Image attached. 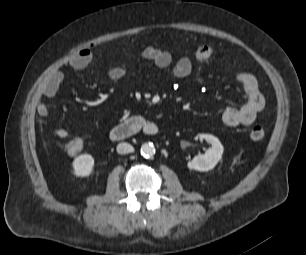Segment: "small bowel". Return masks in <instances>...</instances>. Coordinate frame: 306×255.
Masks as SVG:
<instances>
[{
    "label": "small bowel",
    "instance_id": "c3829d8e",
    "mask_svg": "<svg viewBox=\"0 0 306 255\" xmlns=\"http://www.w3.org/2000/svg\"><path fill=\"white\" fill-rule=\"evenodd\" d=\"M215 55V50L212 46H200L193 56H181L173 64V57L170 52L147 46L142 51V57L150 61L154 66L160 69H167L172 66L171 72L177 79L190 78L194 82L199 83L201 76L194 72V63L204 64L212 59ZM92 60V52L88 48L79 50L67 63V66L72 69H81L86 67ZM129 71V65L122 63L114 66L107 71L108 79L117 81L124 78ZM64 80L62 71L51 73L41 84L36 102L37 113L41 117L48 115V105L43 97H54L60 85ZM237 82L241 85L246 101L239 107H228L222 113V121L226 126L237 127L240 125L248 126L254 123L259 112L264 108L265 101L261 94L258 82L255 76L248 72H241L236 76ZM55 135L61 139L68 136V131L64 128L55 129Z\"/></svg>",
    "mask_w": 306,
    "mask_h": 255
}]
</instances>
